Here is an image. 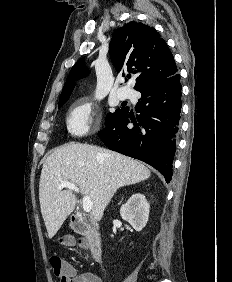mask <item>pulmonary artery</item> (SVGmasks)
Masks as SVG:
<instances>
[{
	"instance_id": "pulmonary-artery-1",
	"label": "pulmonary artery",
	"mask_w": 232,
	"mask_h": 282,
	"mask_svg": "<svg viewBox=\"0 0 232 282\" xmlns=\"http://www.w3.org/2000/svg\"><path fill=\"white\" fill-rule=\"evenodd\" d=\"M131 96L132 93L128 89L123 88L118 91V98L121 100L130 98Z\"/></svg>"
}]
</instances>
